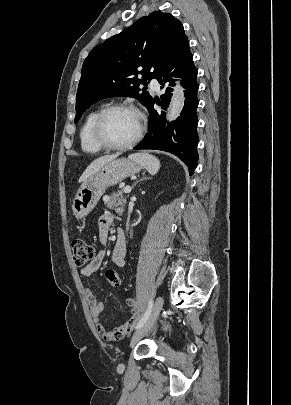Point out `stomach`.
Wrapping results in <instances>:
<instances>
[{"instance_id": "1", "label": "stomach", "mask_w": 291, "mask_h": 405, "mask_svg": "<svg viewBox=\"0 0 291 405\" xmlns=\"http://www.w3.org/2000/svg\"><path fill=\"white\" fill-rule=\"evenodd\" d=\"M142 166L129 158L114 159L106 163L98 172L86 179L80 186L74 200L73 213L77 219L87 216L97 205L108 187L137 174Z\"/></svg>"}]
</instances>
